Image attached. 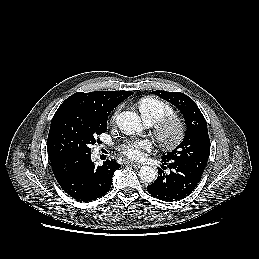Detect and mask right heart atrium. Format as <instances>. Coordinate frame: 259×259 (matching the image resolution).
<instances>
[{
  "instance_id": "d8ad5b80",
  "label": "right heart atrium",
  "mask_w": 259,
  "mask_h": 259,
  "mask_svg": "<svg viewBox=\"0 0 259 259\" xmlns=\"http://www.w3.org/2000/svg\"><path fill=\"white\" fill-rule=\"evenodd\" d=\"M117 115H118V111H115L114 114L112 115L111 117V120L114 122L115 119L117 118Z\"/></svg>"
}]
</instances>
